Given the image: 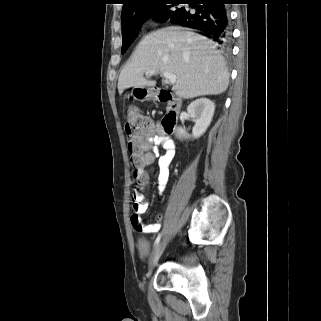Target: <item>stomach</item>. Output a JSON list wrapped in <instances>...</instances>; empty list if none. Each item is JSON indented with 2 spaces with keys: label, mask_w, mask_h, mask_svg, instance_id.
<instances>
[{
  "label": "stomach",
  "mask_w": 321,
  "mask_h": 321,
  "mask_svg": "<svg viewBox=\"0 0 321 321\" xmlns=\"http://www.w3.org/2000/svg\"><path fill=\"white\" fill-rule=\"evenodd\" d=\"M132 95L137 100H145L151 96L150 90L145 87H134Z\"/></svg>",
  "instance_id": "1"
}]
</instances>
